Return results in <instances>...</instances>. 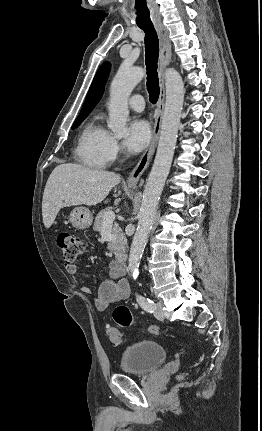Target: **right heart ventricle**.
I'll use <instances>...</instances> for the list:
<instances>
[{"mask_svg": "<svg viewBox=\"0 0 262 431\" xmlns=\"http://www.w3.org/2000/svg\"><path fill=\"white\" fill-rule=\"evenodd\" d=\"M108 135V131L101 125L98 117L90 119L84 125L78 139L76 153L85 166L100 169L108 163L105 155Z\"/></svg>", "mask_w": 262, "mask_h": 431, "instance_id": "1", "label": "right heart ventricle"}]
</instances>
